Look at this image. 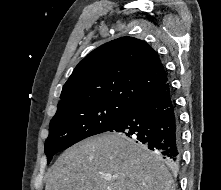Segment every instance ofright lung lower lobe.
I'll return each mask as SVG.
<instances>
[{
    "label": "right lung lower lobe",
    "instance_id": "right-lung-lower-lobe-1",
    "mask_svg": "<svg viewBox=\"0 0 221 190\" xmlns=\"http://www.w3.org/2000/svg\"><path fill=\"white\" fill-rule=\"evenodd\" d=\"M110 132L144 144L175 166L181 158L180 120L169 82L133 102Z\"/></svg>",
    "mask_w": 221,
    "mask_h": 190
}]
</instances>
